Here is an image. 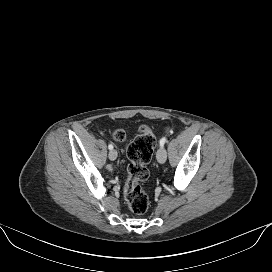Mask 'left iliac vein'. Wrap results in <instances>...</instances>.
<instances>
[{
    "label": "left iliac vein",
    "instance_id": "left-iliac-vein-1",
    "mask_svg": "<svg viewBox=\"0 0 272 272\" xmlns=\"http://www.w3.org/2000/svg\"><path fill=\"white\" fill-rule=\"evenodd\" d=\"M157 160L159 163L163 164L165 163L166 159H167V152L166 149L161 147L156 154Z\"/></svg>",
    "mask_w": 272,
    "mask_h": 272
}]
</instances>
